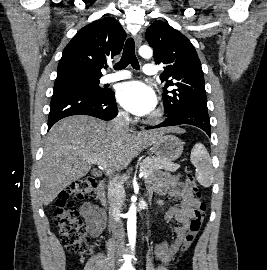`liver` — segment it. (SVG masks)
Instances as JSON below:
<instances>
[{"mask_svg":"<svg viewBox=\"0 0 267 270\" xmlns=\"http://www.w3.org/2000/svg\"><path fill=\"white\" fill-rule=\"evenodd\" d=\"M178 128L132 133H117L111 122L87 115H75L58 121L45 140L40 163L41 195L49 205L72 182L87 175L91 169L88 158L98 159L107 171L124 169L139 152L162 135Z\"/></svg>","mask_w":267,"mask_h":270,"instance_id":"6515ba94","label":"liver"}]
</instances>
